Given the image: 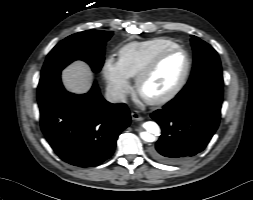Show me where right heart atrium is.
Returning a JSON list of instances; mask_svg holds the SVG:
<instances>
[{
	"label": "right heart atrium",
	"mask_w": 253,
	"mask_h": 200,
	"mask_svg": "<svg viewBox=\"0 0 253 200\" xmlns=\"http://www.w3.org/2000/svg\"><path fill=\"white\" fill-rule=\"evenodd\" d=\"M103 76L112 98L123 101L131 90V83L119 61L113 57L106 58L103 64Z\"/></svg>",
	"instance_id": "obj_1"
}]
</instances>
